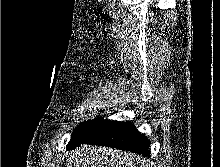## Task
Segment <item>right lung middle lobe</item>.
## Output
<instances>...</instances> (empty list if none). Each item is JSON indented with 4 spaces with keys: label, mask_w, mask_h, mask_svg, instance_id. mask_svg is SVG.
<instances>
[{
    "label": "right lung middle lobe",
    "mask_w": 220,
    "mask_h": 167,
    "mask_svg": "<svg viewBox=\"0 0 220 167\" xmlns=\"http://www.w3.org/2000/svg\"><path fill=\"white\" fill-rule=\"evenodd\" d=\"M103 121L102 118H96L94 120H89L78 126L75 132L71 136V140L67 145V150L74 149L75 147L82 144L92 132L100 125Z\"/></svg>",
    "instance_id": "dd1d6c3e"
}]
</instances>
